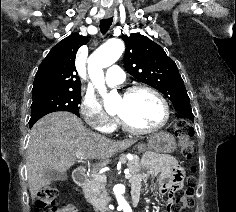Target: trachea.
<instances>
[{"mask_svg":"<svg viewBox=\"0 0 236 212\" xmlns=\"http://www.w3.org/2000/svg\"><path fill=\"white\" fill-rule=\"evenodd\" d=\"M112 21H113V17H110L107 19H102L100 21V31L102 34H105L109 30V28L112 24Z\"/></svg>","mask_w":236,"mask_h":212,"instance_id":"3493384b","label":"trachea"}]
</instances>
